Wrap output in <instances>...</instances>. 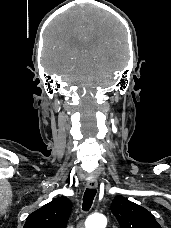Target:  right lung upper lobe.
Listing matches in <instances>:
<instances>
[{"label": "right lung upper lobe", "instance_id": "obj_1", "mask_svg": "<svg viewBox=\"0 0 171 228\" xmlns=\"http://www.w3.org/2000/svg\"><path fill=\"white\" fill-rule=\"evenodd\" d=\"M71 207L67 197H58L31 213L23 228H65Z\"/></svg>", "mask_w": 171, "mask_h": 228}]
</instances>
